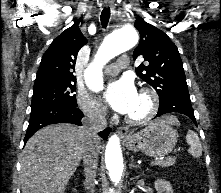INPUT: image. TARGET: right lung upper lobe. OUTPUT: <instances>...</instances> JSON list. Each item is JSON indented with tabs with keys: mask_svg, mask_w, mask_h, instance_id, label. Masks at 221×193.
<instances>
[{
	"mask_svg": "<svg viewBox=\"0 0 221 193\" xmlns=\"http://www.w3.org/2000/svg\"><path fill=\"white\" fill-rule=\"evenodd\" d=\"M87 43L77 22L66 29L44 53L38 69L35 84L50 82H74L76 77L72 70L76 63L78 51Z\"/></svg>",
	"mask_w": 221,
	"mask_h": 193,
	"instance_id": "cb5924a9",
	"label": "right lung upper lobe"
}]
</instances>
